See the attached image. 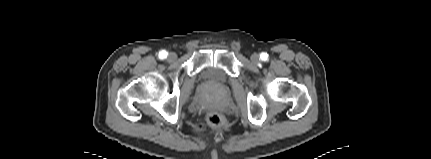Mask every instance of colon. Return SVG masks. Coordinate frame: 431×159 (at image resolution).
I'll return each mask as SVG.
<instances>
[{"mask_svg": "<svg viewBox=\"0 0 431 159\" xmlns=\"http://www.w3.org/2000/svg\"><path fill=\"white\" fill-rule=\"evenodd\" d=\"M207 123L213 128H221L224 125V118L217 112H211L207 115Z\"/></svg>", "mask_w": 431, "mask_h": 159, "instance_id": "obj_1", "label": "colon"}]
</instances>
